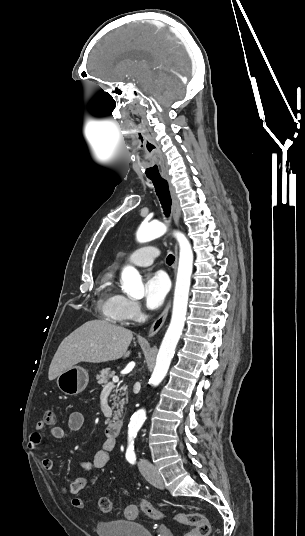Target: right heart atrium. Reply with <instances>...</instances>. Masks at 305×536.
I'll list each match as a JSON object with an SVG mask.
<instances>
[{
	"label": "right heart atrium",
	"instance_id": "1",
	"mask_svg": "<svg viewBox=\"0 0 305 536\" xmlns=\"http://www.w3.org/2000/svg\"><path fill=\"white\" fill-rule=\"evenodd\" d=\"M121 310L126 320L135 319L140 314V306L138 302L132 299L125 298Z\"/></svg>",
	"mask_w": 305,
	"mask_h": 536
}]
</instances>
